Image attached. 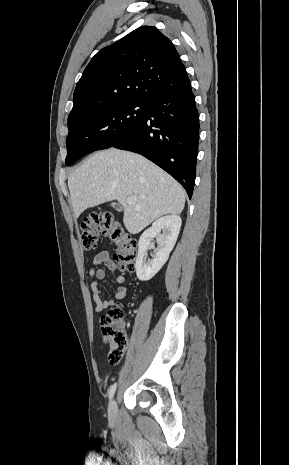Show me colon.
I'll return each instance as SVG.
<instances>
[{
    "instance_id": "obj_1",
    "label": "colon",
    "mask_w": 289,
    "mask_h": 465,
    "mask_svg": "<svg viewBox=\"0 0 289 465\" xmlns=\"http://www.w3.org/2000/svg\"><path fill=\"white\" fill-rule=\"evenodd\" d=\"M80 238L86 250L97 247L99 235L102 234L116 248L115 260L121 270L133 273L137 257V242L123 227L115 221L111 213H92L81 224ZM123 311L113 308L101 317L100 336L109 348L110 362L117 363L128 346V337L121 320Z\"/></svg>"
}]
</instances>
